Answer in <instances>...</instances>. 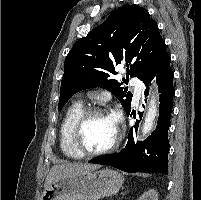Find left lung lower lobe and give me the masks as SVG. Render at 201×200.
Wrapping results in <instances>:
<instances>
[{
  "mask_svg": "<svg viewBox=\"0 0 201 200\" xmlns=\"http://www.w3.org/2000/svg\"><path fill=\"white\" fill-rule=\"evenodd\" d=\"M171 58L166 52L159 59L155 67L147 73L142 81L148 88L156 76L159 86L160 105L158 125L145 141L134 142L132 129L129 132L128 141L125 147L116 154L104 155L94 158L89 163L110 165L125 172L162 173L168 174V129L173 107L174 73L170 67ZM145 95L149 92L145 90ZM146 97V96H145ZM147 101V99H145ZM130 111L127 112V115ZM142 117V113L140 114ZM137 130V129H136Z\"/></svg>",
  "mask_w": 201,
  "mask_h": 200,
  "instance_id": "obj_1",
  "label": "left lung lower lobe"
}]
</instances>
